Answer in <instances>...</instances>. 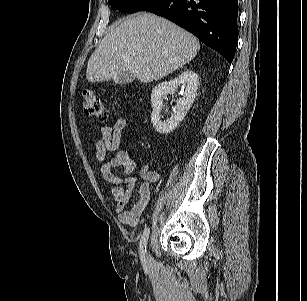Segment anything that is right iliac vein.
Instances as JSON below:
<instances>
[{"mask_svg":"<svg viewBox=\"0 0 307 301\" xmlns=\"http://www.w3.org/2000/svg\"><path fill=\"white\" fill-rule=\"evenodd\" d=\"M146 263H147L148 265H150V266H152V265L154 264V260H153V258H152L150 255H148V256L146 257Z\"/></svg>","mask_w":307,"mask_h":301,"instance_id":"obj_1","label":"right iliac vein"}]
</instances>
